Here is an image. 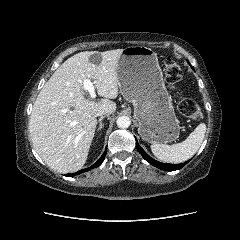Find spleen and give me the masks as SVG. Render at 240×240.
<instances>
[{
	"instance_id": "3e777b00",
	"label": "spleen",
	"mask_w": 240,
	"mask_h": 240,
	"mask_svg": "<svg viewBox=\"0 0 240 240\" xmlns=\"http://www.w3.org/2000/svg\"><path fill=\"white\" fill-rule=\"evenodd\" d=\"M206 132V125L199 124L181 143L173 145L153 143L151 151L156 158L168 163H181L191 158L200 148Z\"/></svg>"
}]
</instances>
